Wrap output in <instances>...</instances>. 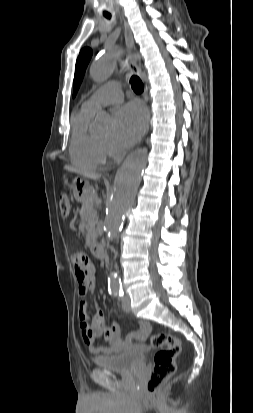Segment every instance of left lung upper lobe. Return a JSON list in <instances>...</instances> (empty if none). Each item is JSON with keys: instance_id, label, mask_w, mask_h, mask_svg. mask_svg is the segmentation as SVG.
<instances>
[{"instance_id": "left-lung-upper-lobe-1", "label": "left lung upper lobe", "mask_w": 253, "mask_h": 413, "mask_svg": "<svg viewBox=\"0 0 253 413\" xmlns=\"http://www.w3.org/2000/svg\"><path fill=\"white\" fill-rule=\"evenodd\" d=\"M92 50L90 48H84L80 51V54L76 61L75 75H74V85H73V97H75L81 81L84 76L85 69L91 59Z\"/></svg>"}]
</instances>
